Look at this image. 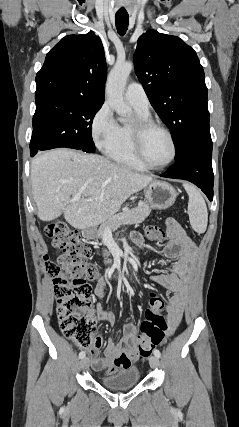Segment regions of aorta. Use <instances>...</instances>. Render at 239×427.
<instances>
[{
  "instance_id": "obj_1",
  "label": "aorta",
  "mask_w": 239,
  "mask_h": 427,
  "mask_svg": "<svg viewBox=\"0 0 239 427\" xmlns=\"http://www.w3.org/2000/svg\"><path fill=\"white\" fill-rule=\"evenodd\" d=\"M132 68L130 62L116 63L107 79L106 94L109 104L122 117H129L132 113L124 101V90Z\"/></svg>"
}]
</instances>
